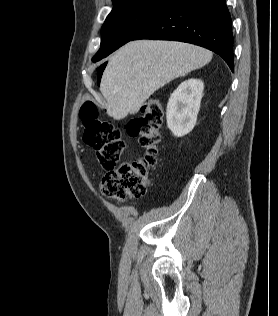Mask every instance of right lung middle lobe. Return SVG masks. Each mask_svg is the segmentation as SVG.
Listing matches in <instances>:
<instances>
[{"label":"right lung middle lobe","mask_w":278,"mask_h":316,"mask_svg":"<svg viewBox=\"0 0 278 316\" xmlns=\"http://www.w3.org/2000/svg\"><path fill=\"white\" fill-rule=\"evenodd\" d=\"M168 0H113L114 7L102 26L97 62L132 40L161 11Z\"/></svg>","instance_id":"right-lung-middle-lobe-1"}]
</instances>
